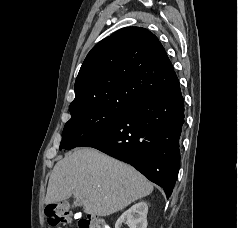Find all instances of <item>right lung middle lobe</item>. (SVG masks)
Segmentation results:
<instances>
[{
	"instance_id": "obj_1",
	"label": "right lung middle lobe",
	"mask_w": 238,
	"mask_h": 228,
	"mask_svg": "<svg viewBox=\"0 0 238 228\" xmlns=\"http://www.w3.org/2000/svg\"><path fill=\"white\" fill-rule=\"evenodd\" d=\"M129 105L91 106L71 112L65 124L59 150L78 147L115 122Z\"/></svg>"
}]
</instances>
